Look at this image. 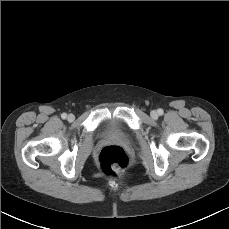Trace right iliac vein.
I'll return each instance as SVG.
<instances>
[{
	"label": "right iliac vein",
	"instance_id": "right-iliac-vein-1",
	"mask_svg": "<svg viewBox=\"0 0 229 229\" xmlns=\"http://www.w3.org/2000/svg\"><path fill=\"white\" fill-rule=\"evenodd\" d=\"M67 119L69 122H72L75 119V116L73 114H69Z\"/></svg>",
	"mask_w": 229,
	"mask_h": 229
}]
</instances>
